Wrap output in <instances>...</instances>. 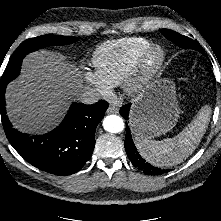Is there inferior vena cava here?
Instances as JSON below:
<instances>
[{
    "mask_svg": "<svg viewBox=\"0 0 221 221\" xmlns=\"http://www.w3.org/2000/svg\"><path fill=\"white\" fill-rule=\"evenodd\" d=\"M77 100L84 104H94L100 100V94L93 88L82 87L76 94Z\"/></svg>",
    "mask_w": 221,
    "mask_h": 221,
    "instance_id": "1",
    "label": "inferior vena cava"
}]
</instances>
